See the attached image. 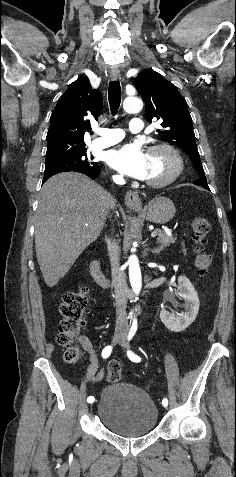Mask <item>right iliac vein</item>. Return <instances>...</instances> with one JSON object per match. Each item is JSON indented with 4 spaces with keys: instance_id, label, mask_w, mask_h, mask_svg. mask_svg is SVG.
<instances>
[{
    "instance_id": "obj_1",
    "label": "right iliac vein",
    "mask_w": 236,
    "mask_h": 477,
    "mask_svg": "<svg viewBox=\"0 0 236 477\" xmlns=\"http://www.w3.org/2000/svg\"><path fill=\"white\" fill-rule=\"evenodd\" d=\"M123 338H124V334L121 333V332H117V333H115V335L113 337V343L114 344L119 343L120 341L123 340ZM95 400L97 402V399H95ZM89 406H90V408H92L90 414H88L90 416L91 414H93V412H94L93 409H95L97 407V404L95 403V404L89 405ZM87 411L89 412L90 410L88 409Z\"/></svg>"
}]
</instances>
